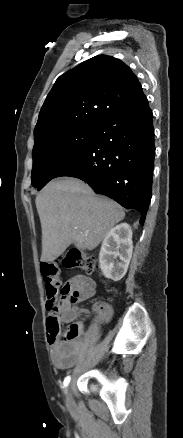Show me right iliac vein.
Returning <instances> with one entry per match:
<instances>
[{"mask_svg": "<svg viewBox=\"0 0 183 438\" xmlns=\"http://www.w3.org/2000/svg\"><path fill=\"white\" fill-rule=\"evenodd\" d=\"M65 400L68 408H72L74 405V400L72 397L71 386H68L65 392Z\"/></svg>", "mask_w": 183, "mask_h": 438, "instance_id": "obj_1", "label": "right iliac vein"}]
</instances>
